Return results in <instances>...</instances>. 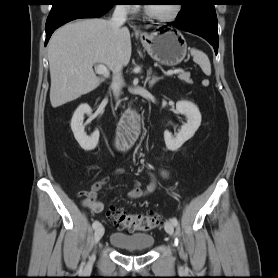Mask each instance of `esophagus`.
<instances>
[{
	"instance_id": "1",
	"label": "esophagus",
	"mask_w": 278,
	"mask_h": 278,
	"mask_svg": "<svg viewBox=\"0 0 278 278\" xmlns=\"http://www.w3.org/2000/svg\"><path fill=\"white\" fill-rule=\"evenodd\" d=\"M141 35L145 36V35H146V33H142Z\"/></svg>"
}]
</instances>
